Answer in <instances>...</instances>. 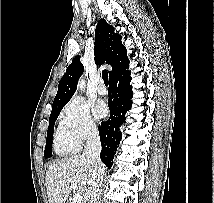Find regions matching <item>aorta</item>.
Masks as SVG:
<instances>
[{
  "instance_id": "aorta-1",
  "label": "aorta",
  "mask_w": 214,
  "mask_h": 203,
  "mask_svg": "<svg viewBox=\"0 0 214 203\" xmlns=\"http://www.w3.org/2000/svg\"><path fill=\"white\" fill-rule=\"evenodd\" d=\"M78 89L83 91L85 89V80L81 78L78 82Z\"/></svg>"
}]
</instances>
